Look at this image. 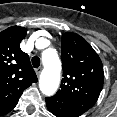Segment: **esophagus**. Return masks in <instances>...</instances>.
Instances as JSON below:
<instances>
[{"instance_id": "1", "label": "esophagus", "mask_w": 117, "mask_h": 117, "mask_svg": "<svg viewBox=\"0 0 117 117\" xmlns=\"http://www.w3.org/2000/svg\"><path fill=\"white\" fill-rule=\"evenodd\" d=\"M41 70H42V68H38V69H36V74H37L38 76L40 75Z\"/></svg>"}]
</instances>
